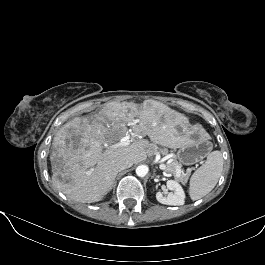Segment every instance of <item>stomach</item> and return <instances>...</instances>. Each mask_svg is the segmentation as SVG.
Segmentation results:
<instances>
[{
    "instance_id": "stomach-1",
    "label": "stomach",
    "mask_w": 265,
    "mask_h": 265,
    "mask_svg": "<svg viewBox=\"0 0 265 265\" xmlns=\"http://www.w3.org/2000/svg\"><path fill=\"white\" fill-rule=\"evenodd\" d=\"M211 144L202 138L192 139L177 152V158L184 165H192L202 160L209 152Z\"/></svg>"
}]
</instances>
